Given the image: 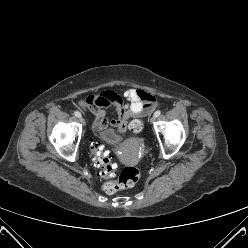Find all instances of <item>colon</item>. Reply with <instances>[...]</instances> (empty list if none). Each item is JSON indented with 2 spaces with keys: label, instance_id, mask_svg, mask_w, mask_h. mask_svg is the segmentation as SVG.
<instances>
[{
  "label": "colon",
  "instance_id": "colon-1",
  "mask_svg": "<svg viewBox=\"0 0 248 248\" xmlns=\"http://www.w3.org/2000/svg\"><path fill=\"white\" fill-rule=\"evenodd\" d=\"M142 127V122L135 120L131 123L130 130L134 133H138L142 130ZM91 149L95 163L100 169V176L103 178L114 177L116 175V165L104 147L100 143H94ZM139 178L140 170L135 166H128L121 171L117 182H105L103 185V190L108 194H112L119 189L134 186Z\"/></svg>",
  "mask_w": 248,
  "mask_h": 248
}]
</instances>
